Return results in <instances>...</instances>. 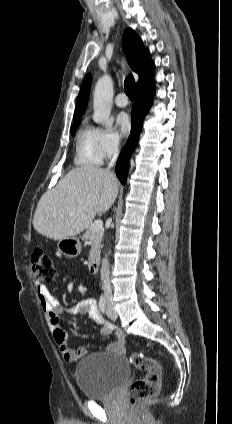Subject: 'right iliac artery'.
I'll list each match as a JSON object with an SVG mask.
<instances>
[{
    "label": "right iliac artery",
    "instance_id": "82829eb1",
    "mask_svg": "<svg viewBox=\"0 0 232 424\" xmlns=\"http://www.w3.org/2000/svg\"><path fill=\"white\" fill-rule=\"evenodd\" d=\"M99 309L102 313H104L106 309V298L103 295H101L99 299Z\"/></svg>",
    "mask_w": 232,
    "mask_h": 424
}]
</instances>
